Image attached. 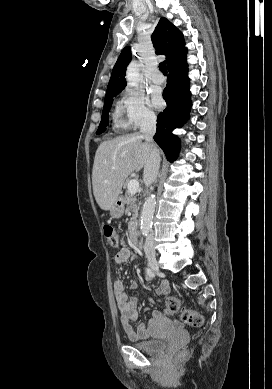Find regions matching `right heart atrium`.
Wrapping results in <instances>:
<instances>
[{
  "label": "right heart atrium",
  "mask_w": 272,
  "mask_h": 389,
  "mask_svg": "<svg viewBox=\"0 0 272 389\" xmlns=\"http://www.w3.org/2000/svg\"><path fill=\"white\" fill-rule=\"evenodd\" d=\"M118 108L131 128L147 127L155 123L156 116L149 106L147 97L134 89L121 92Z\"/></svg>",
  "instance_id": "d8ad5b80"
}]
</instances>
